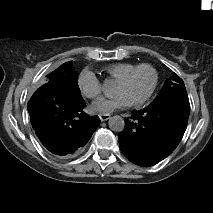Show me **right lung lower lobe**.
Listing matches in <instances>:
<instances>
[{"label":"right lung lower lobe","instance_id":"1","mask_svg":"<svg viewBox=\"0 0 213 213\" xmlns=\"http://www.w3.org/2000/svg\"><path fill=\"white\" fill-rule=\"evenodd\" d=\"M77 93L56 83H46L27 104L30 121L42 144L53 154L69 156L84 146L100 124L88 117Z\"/></svg>","mask_w":213,"mask_h":213}]
</instances>
